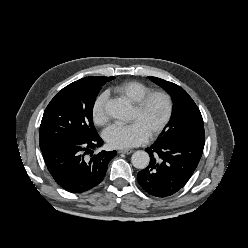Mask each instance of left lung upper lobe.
<instances>
[{
    "label": "left lung upper lobe",
    "instance_id": "1",
    "mask_svg": "<svg viewBox=\"0 0 248 248\" xmlns=\"http://www.w3.org/2000/svg\"><path fill=\"white\" fill-rule=\"evenodd\" d=\"M149 79L170 93L175 105L172 123L159 141L178 137H195L205 140L202 115L187 92L172 82L157 77H149Z\"/></svg>",
    "mask_w": 248,
    "mask_h": 248
}]
</instances>
